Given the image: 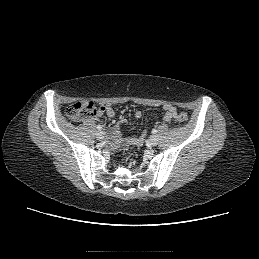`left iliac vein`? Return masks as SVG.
<instances>
[{"mask_svg":"<svg viewBox=\"0 0 259 259\" xmlns=\"http://www.w3.org/2000/svg\"><path fill=\"white\" fill-rule=\"evenodd\" d=\"M149 144L152 146H156L158 144V137L156 135L150 136Z\"/></svg>","mask_w":259,"mask_h":259,"instance_id":"4c4485c4","label":"left iliac vein"}]
</instances>
